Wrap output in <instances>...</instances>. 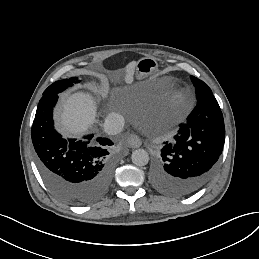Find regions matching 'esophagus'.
I'll list each match as a JSON object with an SVG mask.
<instances>
[{"instance_id":"34e87169","label":"esophagus","mask_w":259,"mask_h":259,"mask_svg":"<svg viewBox=\"0 0 259 259\" xmlns=\"http://www.w3.org/2000/svg\"><path fill=\"white\" fill-rule=\"evenodd\" d=\"M127 142L131 148H139L142 145L140 137L136 134H130L127 138Z\"/></svg>"}]
</instances>
